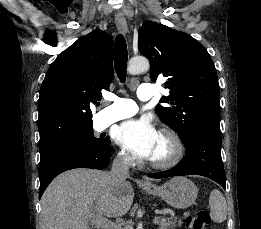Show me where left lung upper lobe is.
<instances>
[{
	"label": "left lung upper lobe",
	"instance_id": "obj_1",
	"mask_svg": "<svg viewBox=\"0 0 261 229\" xmlns=\"http://www.w3.org/2000/svg\"><path fill=\"white\" fill-rule=\"evenodd\" d=\"M138 47L150 61V77H167L170 96L156 113L185 145L201 132L220 135L219 84L212 59L190 35L147 21L139 29Z\"/></svg>",
	"mask_w": 261,
	"mask_h": 229
}]
</instances>
